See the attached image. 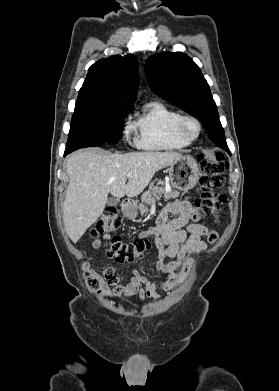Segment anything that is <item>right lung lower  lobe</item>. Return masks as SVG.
<instances>
[{"instance_id":"right-lung-lower-lobe-1","label":"right lung lower lobe","mask_w":279,"mask_h":391,"mask_svg":"<svg viewBox=\"0 0 279 391\" xmlns=\"http://www.w3.org/2000/svg\"><path fill=\"white\" fill-rule=\"evenodd\" d=\"M67 154H68L67 152L64 153V155H67Z\"/></svg>"}]
</instances>
